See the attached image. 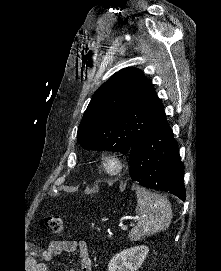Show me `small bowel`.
<instances>
[{
  "mask_svg": "<svg viewBox=\"0 0 221 271\" xmlns=\"http://www.w3.org/2000/svg\"><path fill=\"white\" fill-rule=\"evenodd\" d=\"M78 252L79 255V271H92V261L88 250V245L83 240H55L52 241L47 249L41 253L42 259L48 261L55 257H59L63 252ZM47 265L40 263L36 266V271H47ZM72 271V269H70Z\"/></svg>",
  "mask_w": 221,
  "mask_h": 271,
  "instance_id": "c3829d8e",
  "label": "small bowel"
}]
</instances>
